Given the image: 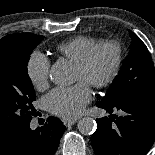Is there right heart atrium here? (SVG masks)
Returning a JSON list of instances; mask_svg holds the SVG:
<instances>
[{
    "label": "right heart atrium",
    "instance_id": "right-heart-atrium-1",
    "mask_svg": "<svg viewBox=\"0 0 155 155\" xmlns=\"http://www.w3.org/2000/svg\"><path fill=\"white\" fill-rule=\"evenodd\" d=\"M26 72L31 84L36 89H45L50 77L49 59L43 53L34 51L27 61Z\"/></svg>",
    "mask_w": 155,
    "mask_h": 155
}]
</instances>
